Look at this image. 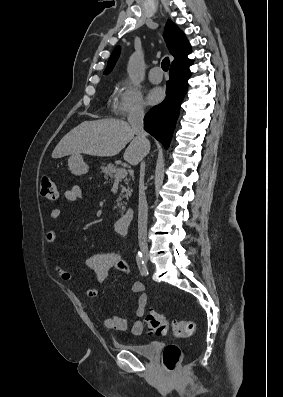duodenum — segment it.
I'll list each match as a JSON object with an SVG mask.
<instances>
[{
    "label": "duodenum",
    "instance_id": "duodenum-1",
    "mask_svg": "<svg viewBox=\"0 0 283 397\" xmlns=\"http://www.w3.org/2000/svg\"><path fill=\"white\" fill-rule=\"evenodd\" d=\"M132 219V212L128 210L123 216L116 220L114 227L118 234L126 235L129 231Z\"/></svg>",
    "mask_w": 283,
    "mask_h": 397
}]
</instances>
